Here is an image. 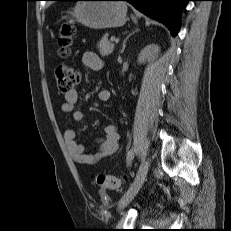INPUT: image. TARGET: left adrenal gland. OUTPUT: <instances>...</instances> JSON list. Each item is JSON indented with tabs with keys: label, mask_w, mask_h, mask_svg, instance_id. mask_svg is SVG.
I'll use <instances>...</instances> for the list:
<instances>
[{
	"label": "left adrenal gland",
	"mask_w": 231,
	"mask_h": 231,
	"mask_svg": "<svg viewBox=\"0 0 231 231\" xmlns=\"http://www.w3.org/2000/svg\"><path fill=\"white\" fill-rule=\"evenodd\" d=\"M138 31H139V29H135V31H133L132 33H130V34L124 39L123 44H122V49H121L120 53H123V52H124L125 47H126V42H127V40L129 39V37H131V35H133L134 33L138 32Z\"/></svg>",
	"instance_id": "a2214340"
}]
</instances>
